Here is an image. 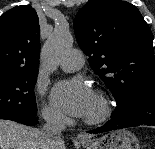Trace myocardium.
I'll use <instances>...</instances> for the list:
<instances>
[{
  "label": "myocardium",
  "instance_id": "obj_1",
  "mask_svg": "<svg viewBox=\"0 0 155 149\" xmlns=\"http://www.w3.org/2000/svg\"><path fill=\"white\" fill-rule=\"evenodd\" d=\"M97 103H98V112L89 117H84L83 120L87 124H98L106 120L112 111L111 103L108 97L101 91L95 93Z\"/></svg>",
  "mask_w": 155,
  "mask_h": 149
}]
</instances>
